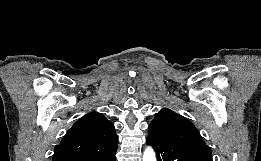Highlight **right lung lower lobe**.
Returning <instances> with one entry per match:
<instances>
[{
  "label": "right lung lower lobe",
  "instance_id": "1",
  "mask_svg": "<svg viewBox=\"0 0 261 161\" xmlns=\"http://www.w3.org/2000/svg\"><path fill=\"white\" fill-rule=\"evenodd\" d=\"M116 151L117 144L104 151L80 155L64 161H115Z\"/></svg>",
  "mask_w": 261,
  "mask_h": 161
}]
</instances>
